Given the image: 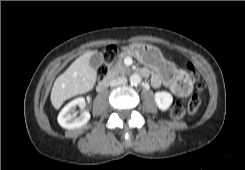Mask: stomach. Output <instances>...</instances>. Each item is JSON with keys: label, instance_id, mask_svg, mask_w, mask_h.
Returning <instances> with one entry per match:
<instances>
[{"label": "stomach", "instance_id": "0dacf381", "mask_svg": "<svg viewBox=\"0 0 245 170\" xmlns=\"http://www.w3.org/2000/svg\"><path fill=\"white\" fill-rule=\"evenodd\" d=\"M128 52L140 63L152 69H158L164 61L162 53L151 45L134 43L128 47ZM177 81H183L187 85L188 90L192 87L191 80L186 75L177 77Z\"/></svg>", "mask_w": 245, "mask_h": 170}]
</instances>
